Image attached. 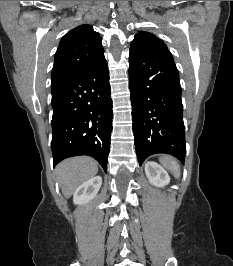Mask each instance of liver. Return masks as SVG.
Masks as SVG:
<instances>
[{"label":"liver","mask_w":233,"mask_h":266,"mask_svg":"<svg viewBox=\"0 0 233 266\" xmlns=\"http://www.w3.org/2000/svg\"><path fill=\"white\" fill-rule=\"evenodd\" d=\"M98 172L97 162L86 156L73 157L59 163L56 173L63 195L69 198L76 189Z\"/></svg>","instance_id":"1"}]
</instances>
